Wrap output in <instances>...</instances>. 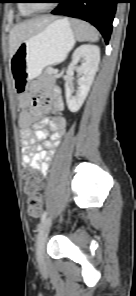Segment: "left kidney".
Masks as SVG:
<instances>
[{"label": "left kidney", "instance_id": "left-kidney-1", "mask_svg": "<svg viewBox=\"0 0 136 296\" xmlns=\"http://www.w3.org/2000/svg\"><path fill=\"white\" fill-rule=\"evenodd\" d=\"M82 60V63L77 67V63ZM100 62V49L96 45H81L79 46L72 55V61L66 72L67 81L65 83V95L68 109L75 113L77 112L84 100L86 99L94 76L98 70V64ZM77 70L82 74L78 80V90L75 96L72 95L73 89L71 86V80L73 76V70Z\"/></svg>", "mask_w": 136, "mask_h": 296}]
</instances>
